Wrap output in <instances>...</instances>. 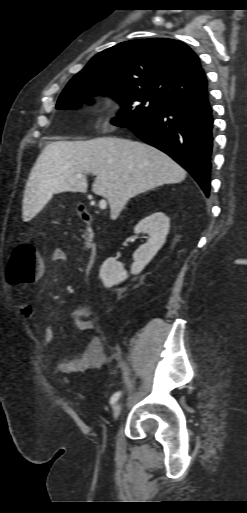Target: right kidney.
I'll list each match as a JSON object with an SVG mask.
<instances>
[{"mask_svg": "<svg viewBox=\"0 0 247 513\" xmlns=\"http://www.w3.org/2000/svg\"><path fill=\"white\" fill-rule=\"evenodd\" d=\"M170 228V219L163 212H155L141 220L134 228V233H146L149 235L147 242L141 245L134 253V263L131 266V273L138 274L156 255L163 246ZM100 278L105 287L124 281L127 272L115 258H108L100 268Z\"/></svg>", "mask_w": 247, "mask_h": 513, "instance_id": "1", "label": "right kidney"}]
</instances>
